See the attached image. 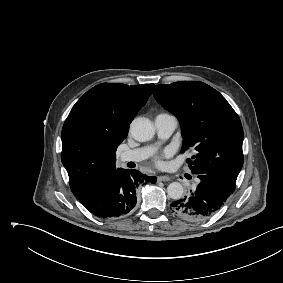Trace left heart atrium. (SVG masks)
<instances>
[{
  "instance_id": "39dd6f15",
  "label": "left heart atrium",
  "mask_w": 283,
  "mask_h": 283,
  "mask_svg": "<svg viewBox=\"0 0 283 283\" xmlns=\"http://www.w3.org/2000/svg\"><path fill=\"white\" fill-rule=\"evenodd\" d=\"M168 155H169L168 152H164L163 154L156 156L155 159H154L155 164L158 165V166H163L164 165L163 158L168 156Z\"/></svg>"
}]
</instances>
